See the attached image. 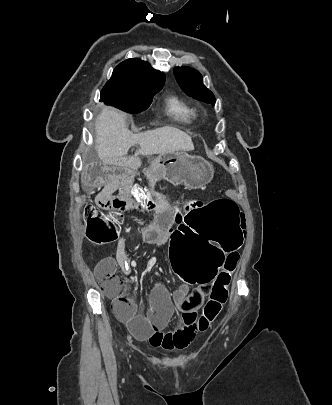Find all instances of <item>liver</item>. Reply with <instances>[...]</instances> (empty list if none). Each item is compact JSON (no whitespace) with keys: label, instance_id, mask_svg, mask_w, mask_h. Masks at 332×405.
Returning <instances> with one entry per match:
<instances>
[{"label":"liver","instance_id":"liver-1","mask_svg":"<svg viewBox=\"0 0 332 405\" xmlns=\"http://www.w3.org/2000/svg\"><path fill=\"white\" fill-rule=\"evenodd\" d=\"M126 117V113L105 106L96 118V151L105 164L125 162L135 144L140 146L139 154L145 156L194 150L191 137L178 128L164 126L133 134L126 126Z\"/></svg>","mask_w":332,"mask_h":405}]
</instances>
